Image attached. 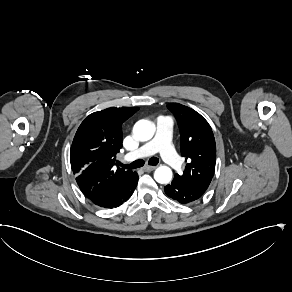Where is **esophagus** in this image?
<instances>
[{"label": "esophagus", "instance_id": "obj_1", "mask_svg": "<svg viewBox=\"0 0 292 292\" xmlns=\"http://www.w3.org/2000/svg\"><path fill=\"white\" fill-rule=\"evenodd\" d=\"M155 169H156V166H148V165H146V166L143 167V170L145 172H150V171H153Z\"/></svg>", "mask_w": 292, "mask_h": 292}]
</instances>
